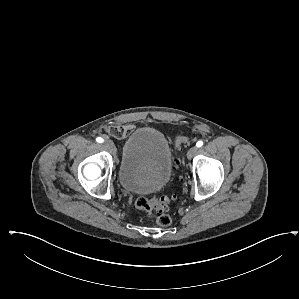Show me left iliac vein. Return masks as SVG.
Returning <instances> with one entry per match:
<instances>
[{"label": "left iliac vein", "mask_w": 299, "mask_h": 299, "mask_svg": "<svg viewBox=\"0 0 299 299\" xmlns=\"http://www.w3.org/2000/svg\"><path fill=\"white\" fill-rule=\"evenodd\" d=\"M198 148L196 146H192L187 152V158L191 159L197 153Z\"/></svg>", "instance_id": "left-iliac-vein-1"}]
</instances>
